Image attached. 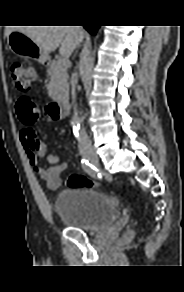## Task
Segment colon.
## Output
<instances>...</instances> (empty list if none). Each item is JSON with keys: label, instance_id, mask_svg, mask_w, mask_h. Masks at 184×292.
I'll use <instances>...</instances> for the list:
<instances>
[{"label": "colon", "instance_id": "colon-1", "mask_svg": "<svg viewBox=\"0 0 184 292\" xmlns=\"http://www.w3.org/2000/svg\"><path fill=\"white\" fill-rule=\"evenodd\" d=\"M10 75L14 79L16 87L22 92L29 90L31 83L35 79V68L21 61H13L9 67ZM16 113L22 125L31 126L39 118V111L36 103L27 96H22L16 103ZM67 185L70 188L87 187L97 188L100 185L81 174H71L67 178ZM133 231L129 230L124 234L123 240L130 241Z\"/></svg>", "mask_w": 184, "mask_h": 292}]
</instances>
